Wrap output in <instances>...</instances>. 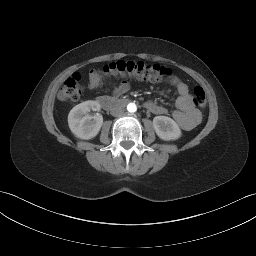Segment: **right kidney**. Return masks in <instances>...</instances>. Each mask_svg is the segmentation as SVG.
I'll use <instances>...</instances> for the list:
<instances>
[{"label": "right kidney", "mask_w": 256, "mask_h": 256, "mask_svg": "<svg viewBox=\"0 0 256 256\" xmlns=\"http://www.w3.org/2000/svg\"><path fill=\"white\" fill-rule=\"evenodd\" d=\"M100 104L97 101H85L72 108L68 115V125L71 132L80 139H92L100 131L103 124V117L96 113L89 115L91 110L100 111Z\"/></svg>", "instance_id": "right-kidney-1"}]
</instances>
